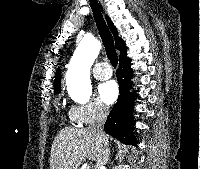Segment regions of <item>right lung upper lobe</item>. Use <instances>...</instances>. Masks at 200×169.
Masks as SVG:
<instances>
[{
  "label": "right lung upper lobe",
  "instance_id": "1",
  "mask_svg": "<svg viewBox=\"0 0 200 169\" xmlns=\"http://www.w3.org/2000/svg\"><path fill=\"white\" fill-rule=\"evenodd\" d=\"M106 20H107L109 28L114 36L116 48L121 52V54L119 56V59H121L126 56L127 47H126L124 41L120 37H118L117 29L113 25L111 20L108 17H106ZM54 90H55V92L60 91V69L59 68L57 69V72L55 75Z\"/></svg>",
  "mask_w": 200,
  "mask_h": 169
}]
</instances>
